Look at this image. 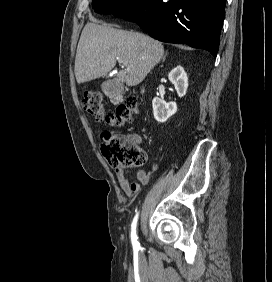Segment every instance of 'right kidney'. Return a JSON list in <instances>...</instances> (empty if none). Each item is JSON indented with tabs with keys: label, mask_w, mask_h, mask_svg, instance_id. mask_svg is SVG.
Masks as SVG:
<instances>
[{
	"label": "right kidney",
	"mask_w": 272,
	"mask_h": 282,
	"mask_svg": "<svg viewBox=\"0 0 272 282\" xmlns=\"http://www.w3.org/2000/svg\"><path fill=\"white\" fill-rule=\"evenodd\" d=\"M169 80L174 84L179 97H183L188 88V77L183 67L177 66L168 75ZM154 118L159 123L166 122L177 111L175 102L166 103L162 98L155 97L152 101Z\"/></svg>",
	"instance_id": "1"
}]
</instances>
